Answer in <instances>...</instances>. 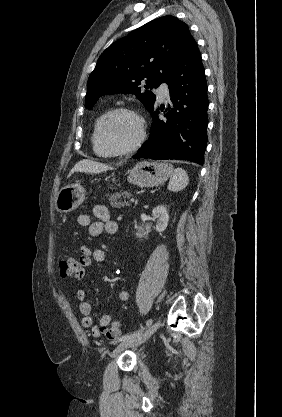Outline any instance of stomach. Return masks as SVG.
I'll return each instance as SVG.
<instances>
[{
    "mask_svg": "<svg viewBox=\"0 0 282 417\" xmlns=\"http://www.w3.org/2000/svg\"><path fill=\"white\" fill-rule=\"evenodd\" d=\"M128 174L129 182L137 186H159L173 174V166L170 162L142 160V162H137ZM85 198V188L80 182L68 184V186H63L57 194L56 209L59 213H70L77 209Z\"/></svg>",
    "mask_w": 282,
    "mask_h": 417,
    "instance_id": "obj_1",
    "label": "stomach"
}]
</instances>
